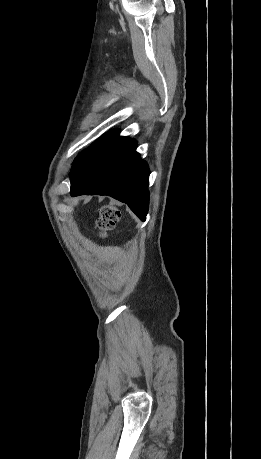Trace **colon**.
<instances>
[{
    "label": "colon",
    "instance_id": "5ec220e1",
    "mask_svg": "<svg viewBox=\"0 0 261 459\" xmlns=\"http://www.w3.org/2000/svg\"><path fill=\"white\" fill-rule=\"evenodd\" d=\"M119 216V209L115 206L104 205L101 208L99 218L97 219V227L101 236H106L107 232L110 231L118 221Z\"/></svg>",
    "mask_w": 261,
    "mask_h": 459
}]
</instances>
